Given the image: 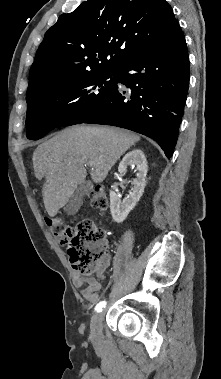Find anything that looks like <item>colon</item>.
Listing matches in <instances>:
<instances>
[{
  "mask_svg": "<svg viewBox=\"0 0 221 379\" xmlns=\"http://www.w3.org/2000/svg\"><path fill=\"white\" fill-rule=\"evenodd\" d=\"M90 198L92 206L100 211L107 208V197L101 186H95ZM46 224L52 236L67 247L74 270L82 275H90L98 268L106 253L104 230L89 219H82L74 226H66L58 218H46Z\"/></svg>",
  "mask_w": 221,
  "mask_h": 379,
  "instance_id": "1",
  "label": "colon"
}]
</instances>
